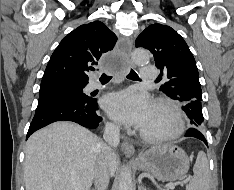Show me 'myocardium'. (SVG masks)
<instances>
[{"label": "myocardium", "instance_id": "1", "mask_svg": "<svg viewBox=\"0 0 234 190\" xmlns=\"http://www.w3.org/2000/svg\"><path fill=\"white\" fill-rule=\"evenodd\" d=\"M154 106L162 108L168 112L173 119L174 125L172 128L162 132L152 133L141 130L140 136L149 142H159L174 139L182 135L185 130V121L180 109L173 102L164 98L156 99L154 101Z\"/></svg>", "mask_w": 234, "mask_h": 190}]
</instances>
